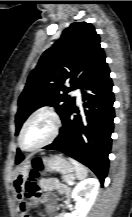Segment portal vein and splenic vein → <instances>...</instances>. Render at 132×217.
Returning a JSON list of instances; mask_svg holds the SVG:
<instances>
[{"mask_svg":"<svg viewBox=\"0 0 132 217\" xmlns=\"http://www.w3.org/2000/svg\"><path fill=\"white\" fill-rule=\"evenodd\" d=\"M69 184H70V185H72V184H73V182H70Z\"/></svg>","mask_w":132,"mask_h":217,"instance_id":"18ae733b","label":"portal vein and splenic vein"}]
</instances>
